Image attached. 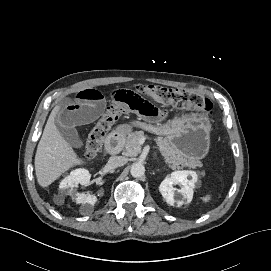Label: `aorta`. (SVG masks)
<instances>
[{"instance_id": "1", "label": "aorta", "mask_w": 271, "mask_h": 271, "mask_svg": "<svg viewBox=\"0 0 271 271\" xmlns=\"http://www.w3.org/2000/svg\"><path fill=\"white\" fill-rule=\"evenodd\" d=\"M130 173L135 178L142 177L145 174V167L140 162L133 163L130 168Z\"/></svg>"}]
</instances>
